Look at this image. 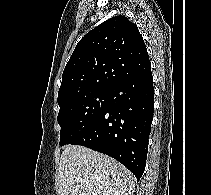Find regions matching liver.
Listing matches in <instances>:
<instances>
[{"instance_id": "1", "label": "liver", "mask_w": 211, "mask_h": 195, "mask_svg": "<svg viewBox=\"0 0 211 195\" xmlns=\"http://www.w3.org/2000/svg\"><path fill=\"white\" fill-rule=\"evenodd\" d=\"M57 195H133L135 177L118 161L67 145L60 157Z\"/></svg>"}]
</instances>
